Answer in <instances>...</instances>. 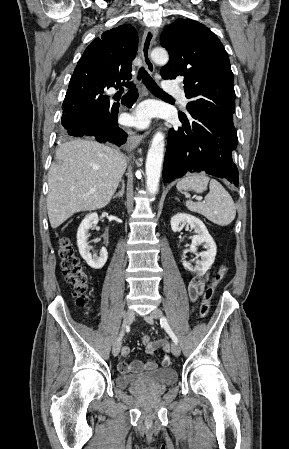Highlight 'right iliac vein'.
<instances>
[{"mask_svg":"<svg viewBox=\"0 0 289 449\" xmlns=\"http://www.w3.org/2000/svg\"><path fill=\"white\" fill-rule=\"evenodd\" d=\"M135 317V312L133 311V309H128L125 313H124V320H123V328L127 327L128 325H130ZM121 349V340L118 338L112 348V353L114 356H117L120 352Z\"/></svg>","mask_w":289,"mask_h":449,"instance_id":"obj_1","label":"right iliac vein"}]
</instances>
